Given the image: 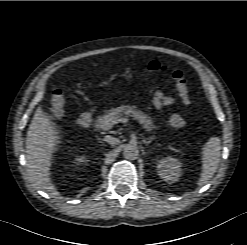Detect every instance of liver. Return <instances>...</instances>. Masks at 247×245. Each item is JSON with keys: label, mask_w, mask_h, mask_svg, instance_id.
I'll return each instance as SVG.
<instances>
[{"label": "liver", "mask_w": 247, "mask_h": 245, "mask_svg": "<svg viewBox=\"0 0 247 245\" xmlns=\"http://www.w3.org/2000/svg\"><path fill=\"white\" fill-rule=\"evenodd\" d=\"M59 135L55 124L41 108H37L26 137L27 171L31 182L52 196L59 195L50 178L53 153L60 143Z\"/></svg>", "instance_id": "obj_1"}]
</instances>
